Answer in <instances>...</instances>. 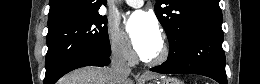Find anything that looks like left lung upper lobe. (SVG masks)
<instances>
[{
  "label": "left lung upper lobe",
  "mask_w": 260,
  "mask_h": 84,
  "mask_svg": "<svg viewBox=\"0 0 260 84\" xmlns=\"http://www.w3.org/2000/svg\"><path fill=\"white\" fill-rule=\"evenodd\" d=\"M162 4L168 6L161 7ZM155 14L167 33L169 54L191 29L222 24L219 0H157Z\"/></svg>",
  "instance_id": "1"
}]
</instances>
